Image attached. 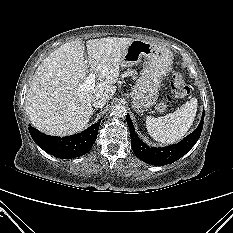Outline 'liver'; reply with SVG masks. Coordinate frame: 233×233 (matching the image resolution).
I'll use <instances>...</instances> for the list:
<instances>
[{"mask_svg": "<svg viewBox=\"0 0 233 233\" xmlns=\"http://www.w3.org/2000/svg\"><path fill=\"white\" fill-rule=\"evenodd\" d=\"M132 38H100L84 43L75 40L53 51L38 66L25 100L32 126L54 136L83 130L93 114L92 100L97 96L109 101L116 92L121 59ZM99 82L92 89L81 85L89 69Z\"/></svg>", "mask_w": 233, "mask_h": 233, "instance_id": "liver-1", "label": "liver"}]
</instances>
